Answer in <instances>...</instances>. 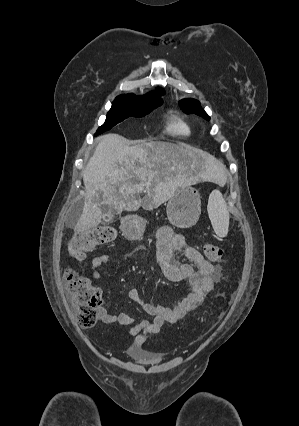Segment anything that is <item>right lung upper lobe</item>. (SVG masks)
I'll list each match as a JSON object with an SVG mask.
<instances>
[{"label": "right lung upper lobe", "instance_id": "obj_1", "mask_svg": "<svg viewBox=\"0 0 299 426\" xmlns=\"http://www.w3.org/2000/svg\"><path fill=\"white\" fill-rule=\"evenodd\" d=\"M157 90H158V92H164L163 89H161V88H157ZM150 93H157V91H152ZM141 97H137L133 94H127V95H120L116 99L123 100V101H136V100L140 99Z\"/></svg>", "mask_w": 299, "mask_h": 426}]
</instances>
